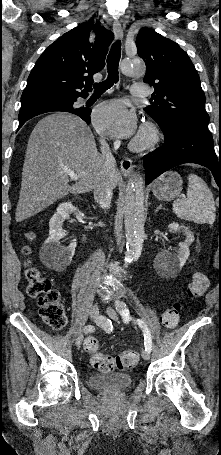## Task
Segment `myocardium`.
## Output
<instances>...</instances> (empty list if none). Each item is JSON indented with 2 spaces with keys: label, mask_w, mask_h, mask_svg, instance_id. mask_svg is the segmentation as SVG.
I'll list each match as a JSON object with an SVG mask.
<instances>
[{
  "label": "myocardium",
  "mask_w": 221,
  "mask_h": 455,
  "mask_svg": "<svg viewBox=\"0 0 221 455\" xmlns=\"http://www.w3.org/2000/svg\"><path fill=\"white\" fill-rule=\"evenodd\" d=\"M160 140L161 133L159 128L154 123L146 122L130 143V147L135 151H143L155 147Z\"/></svg>",
  "instance_id": "f54148a6"
}]
</instances>
